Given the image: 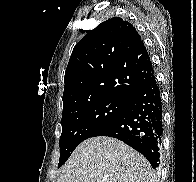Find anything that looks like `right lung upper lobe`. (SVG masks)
I'll return each mask as SVG.
<instances>
[{
    "label": "right lung upper lobe",
    "instance_id": "right-lung-upper-lobe-1",
    "mask_svg": "<svg viewBox=\"0 0 196 182\" xmlns=\"http://www.w3.org/2000/svg\"><path fill=\"white\" fill-rule=\"evenodd\" d=\"M154 74L135 27L114 17L74 47L65 72L63 112L101 97L130 100Z\"/></svg>",
    "mask_w": 196,
    "mask_h": 182
}]
</instances>
